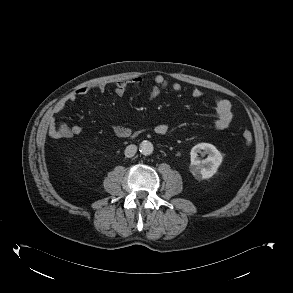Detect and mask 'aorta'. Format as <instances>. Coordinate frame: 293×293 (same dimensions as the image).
I'll return each mask as SVG.
<instances>
[{
    "label": "aorta",
    "mask_w": 293,
    "mask_h": 293,
    "mask_svg": "<svg viewBox=\"0 0 293 293\" xmlns=\"http://www.w3.org/2000/svg\"><path fill=\"white\" fill-rule=\"evenodd\" d=\"M140 152L147 156L153 152V144L150 141H142L140 143Z\"/></svg>",
    "instance_id": "aorta-1"
}]
</instances>
